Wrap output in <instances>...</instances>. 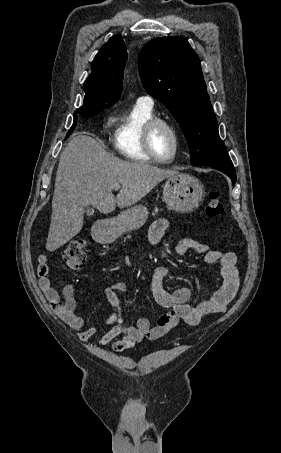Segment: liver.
<instances>
[{"label":"liver","mask_w":281,"mask_h":453,"mask_svg":"<svg viewBox=\"0 0 281 453\" xmlns=\"http://www.w3.org/2000/svg\"><path fill=\"white\" fill-rule=\"evenodd\" d=\"M150 162H126L105 150L88 134H73L59 160L52 200L47 251H56L83 227L84 208L91 204L102 214L126 208L146 196L161 180L177 176ZM121 188L114 196L113 186Z\"/></svg>","instance_id":"liver-1"}]
</instances>
